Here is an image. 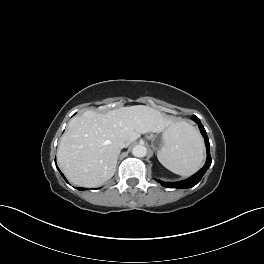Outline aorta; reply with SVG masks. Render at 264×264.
<instances>
[{
  "mask_svg": "<svg viewBox=\"0 0 264 264\" xmlns=\"http://www.w3.org/2000/svg\"><path fill=\"white\" fill-rule=\"evenodd\" d=\"M132 154L135 157H144L147 154V148L144 145H136L132 150Z\"/></svg>",
  "mask_w": 264,
  "mask_h": 264,
  "instance_id": "762f6f07",
  "label": "aorta"
}]
</instances>
